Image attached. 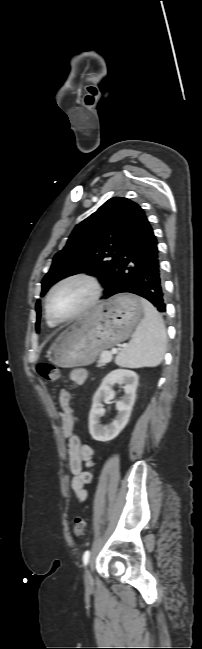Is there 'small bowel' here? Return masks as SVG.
<instances>
[{
    "instance_id": "1",
    "label": "small bowel",
    "mask_w": 202,
    "mask_h": 649,
    "mask_svg": "<svg viewBox=\"0 0 202 649\" xmlns=\"http://www.w3.org/2000/svg\"><path fill=\"white\" fill-rule=\"evenodd\" d=\"M87 378V371L84 368H75L70 373V380L76 385H81ZM70 399L66 392L60 395L61 434L67 440L66 456L68 467L74 476L72 488L78 499L84 501L87 497L85 486L93 479V452L90 447L82 444L79 436L74 433L75 416L74 409L70 405ZM86 463L87 470L82 472L83 463Z\"/></svg>"
}]
</instances>
